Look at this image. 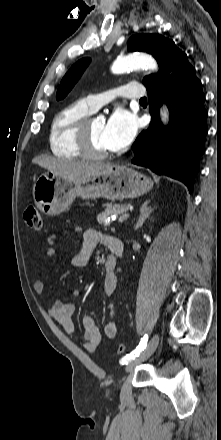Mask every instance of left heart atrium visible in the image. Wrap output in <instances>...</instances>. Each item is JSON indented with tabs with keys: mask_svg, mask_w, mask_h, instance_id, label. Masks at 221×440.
Returning a JSON list of instances; mask_svg holds the SVG:
<instances>
[{
	"mask_svg": "<svg viewBox=\"0 0 221 440\" xmlns=\"http://www.w3.org/2000/svg\"><path fill=\"white\" fill-rule=\"evenodd\" d=\"M138 129L136 116L119 108L113 112L105 124L103 140L108 150H119L131 143Z\"/></svg>",
	"mask_w": 221,
	"mask_h": 440,
	"instance_id": "39dd6f15",
	"label": "left heart atrium"
}]
</instances>
